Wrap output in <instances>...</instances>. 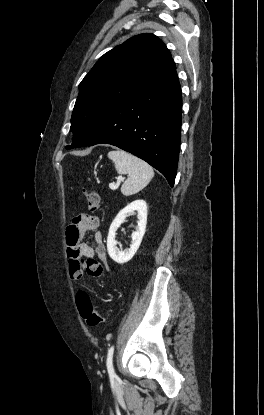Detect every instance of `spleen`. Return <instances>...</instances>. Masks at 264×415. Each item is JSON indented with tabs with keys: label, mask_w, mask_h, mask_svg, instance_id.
I'll return each instance as SVG.
<instances>
[{
	"label": "spleen",
	"mask_w": 264,
	"mask_h": 415,
	"mask_svg": "<svg viewBox=\"0 0 264 415\" xmlns=\"http://www.w3.org/2000/svg\"><path fill=\"white\" fill-rule=\"evenodd\" d=\"M108 158L113 161L119 174L128 175V178L121 186V192L125 196L141 191L154 176V171L150 165L125 151H110Z\"/></svg>",
	"instance_id": "1"
}]
</instances>
